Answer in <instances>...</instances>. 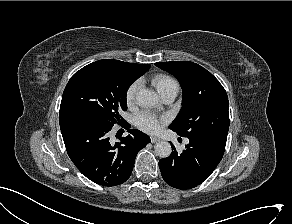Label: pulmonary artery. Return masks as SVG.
I'll list each match as a JSON object with an SVG mask.
<instances>
[{"label":"pulmonary artery","instance_id":"obj_1","mask_svg":"<svg viewBox=\"0 0 292 224\" xmlns=\"http://www.w3.org/2000/svg\"><path fill=\"white\" fill-rule=\"evenodd\" d=\"M177 94H178V88L172 87V88L160 93V97L164 103L169 104V103L174 101Z\"/></svg>","mask_w":292,"mask_h":224}]
</instances>
